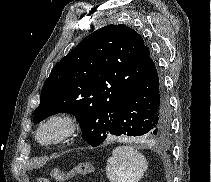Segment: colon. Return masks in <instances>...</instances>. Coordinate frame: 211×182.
Wrapping results in <instances>:
<instances>
[{
	"label": "colon",
	"instance_id": "obj_1",
	"mask_svg": "<svg viewBox=\"0 0 211 182\" xmlns=\"http://www.w3.org/2000/svg\"><path fill=\"white\" fill-rule=\"evenodd\" d=\"M94 172V165L91 162H81L73 167L69 171H61L59 169H53L51 175L58 182H65L78 175H87ZM38 182H50L49 179L41 177Z\"/></svg>",
	"mask_w": 211,
	"mask_h": 182
}]
</instances>
